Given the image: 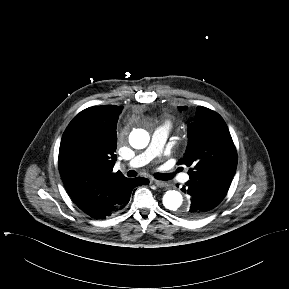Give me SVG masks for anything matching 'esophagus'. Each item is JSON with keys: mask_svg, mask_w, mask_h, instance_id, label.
<instances>
[{"mask_svg": "<svg viewBox=\"0 0 289 289\" xmlns=\"http://www.w3.org/2000/svg\"><path fill=\"white\" fill-rule=\"evenodd\" d=\"M153 182L155 183V185L157 187H160V188H163V187H166L167 186V183L164 182V181H160V180H153Z\"/></svg>", "mask_w": 289, "mask_h": 289, "instance_id": "1", "label": "esophagus"}]
</instances>
